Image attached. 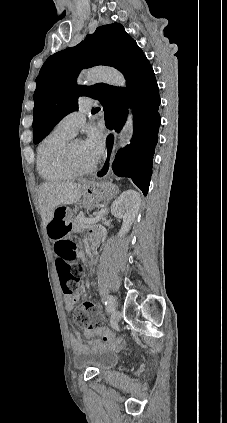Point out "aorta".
<instances>
[{
  "label": "aorta",
  "instance_id": "762f6f07",
  "mask_svg": "<svg viewBox=\"0 0 227 423\" xmlns=\"http://www.w3.org/2000/svg\"><path fill=\"white\" fill-rule=\"evenodd\" d=\"M96 83V82H105L114 86H124L125 79L124 76L117 70L113 68L105 67H96L88 70L79 80L78 83ZM133 135V124L131 115L128 117L127 122L125 123L122 131L119 146L123 147L129 144V140Z\"/></svg>",
  "mask_w": 227,
  "mask_h": 423
}]
</instances>
